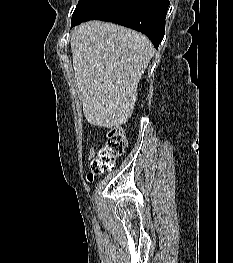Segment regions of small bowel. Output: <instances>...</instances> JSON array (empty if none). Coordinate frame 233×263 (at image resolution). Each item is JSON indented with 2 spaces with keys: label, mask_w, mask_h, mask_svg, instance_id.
<instances>
[{
  "label": "small bowel",
  "mask_w": 233,
  "mask_h": 263,
  "mask_svg": "<svg viewBox=\"0 0 233 263\" xmlns=\"http://www.w3.org/2000/svg\"><path fill=\"white\" fill-rule=\"evenodd\" d=\"M95 156V148H90L89 150V158H93Z\"/></svg>",
  "instance_id": "small-bowel-1"
}]
</instances>
